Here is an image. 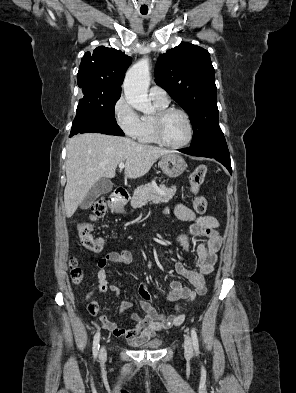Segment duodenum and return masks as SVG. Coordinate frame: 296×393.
Instances as JSON below:
<instances>
[{
    "label": "duodenum",
    "instance_id": "1",
    "mask_svg": "<svg viewBox=\"0 0 296 393\" xmlns=\"http://www.w3.org/2000/svg\"><path fill=\"white\" fill-rule=\"evenodd\" d=\"M128 198V193L123 187H118L111 199H110V205L113 210L118 208L126 199Z\"/></svg>",
    "mask_w": 296,
    "mask_h": 393
}]
</instances>
